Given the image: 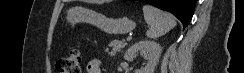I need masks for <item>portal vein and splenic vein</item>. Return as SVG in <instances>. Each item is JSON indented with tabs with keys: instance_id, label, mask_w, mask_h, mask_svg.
Here are the masks:
<instances>
[{
	"instance_id": "portal-vein-and-splenic-vein-1",
	"label": "portal vein and splenic vein",
	"mask_w": 244,
	"mask_h": 73,
	"mask_svg": "<svg viewBox=\"0 0 244 73\" xmlns=\"http://www.w3.org/2000/svg\"><path fill=\"white\" fill-rule=\"evenodd\" d=\"M131 40V38H127V41H130Z\"/></svg>"
}]
</instances>
